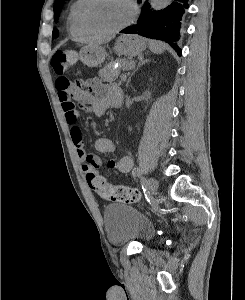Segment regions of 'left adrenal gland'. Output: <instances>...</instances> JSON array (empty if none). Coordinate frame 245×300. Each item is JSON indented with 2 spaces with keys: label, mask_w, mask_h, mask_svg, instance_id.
Returning <instances> with one entry per match:
<instances>
[{
  "label": "left adrenal gland",
  "mask_w": 245,
  "mask_h": 300,
  "mask_svg": "<svg viewBox=\"0 0 245 300\" xmlns=\"http://www.w3.org/2000/svg\"><path fill=\"white\" fill-rule=\"evenodd\" d=\"M148 62H149V60H143V59H141V60L139 61L138 65H137V68L131 73V75H130L128 81H127L126 87H128V85H129V83H130V81H131V79H132V76L138 71V69H139L142 65H144L145 63H148Z\"/></svg>",
  "instance_id": "1"
}]
</instances>
